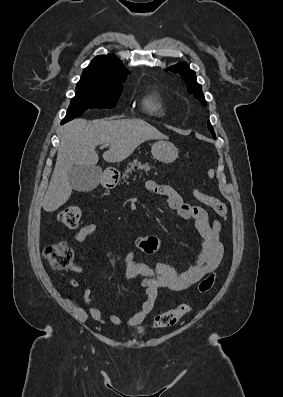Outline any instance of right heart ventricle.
Returning a JSON list of instances; mask_svg holds the SVG:
<instances>
[{
  "instance_id": "right-heart-ventricle-1",
  "label": "right heart ventricle",
  "mask_w": 283,
  "mask_h": 397,
  "mask_svg": "<svg viewBox=\"0 0 283 397\" xmlns=\"http://www.w3.org/2000/svg\"><path fill=\"white\" fill-rule=\"evenodd\" d=\"M143 108L151 115L162 116L165 114L164 103L161 96L157 92H152L144 98Z\"/></svg>"
}]
</instances>
